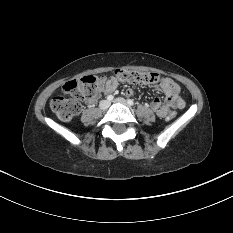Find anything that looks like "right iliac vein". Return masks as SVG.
<instances>
[{"mask_svg":"<svg viewBox=\"0 0 233 233\" xmlns=\"http://www.w3.org/2000/svg\"><path fill=\"white\" fill-rule=\"evenodd\" d=\"M110 106V102L107 100H103L100 102V108L102 110H106Z\"/></svg>","mask_w":233,"mask_h":233,"instance_id":"right-iliac-vein-1","label":"right iliac vein"}]
</instances>
